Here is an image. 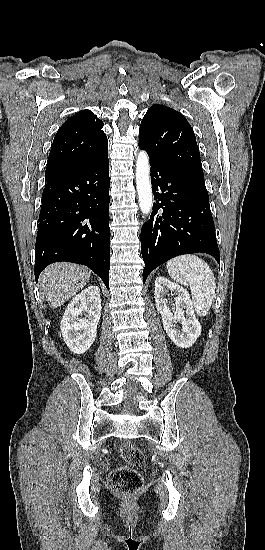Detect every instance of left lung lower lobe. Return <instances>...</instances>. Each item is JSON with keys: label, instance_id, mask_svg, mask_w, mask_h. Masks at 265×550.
I'll list each match as a JSON object with an SVG mask.
<instances>
[{"label": "left lung lower lobe", "instance_id": "0a47b994", "mask_svg": "<svg viewBox=\"0 0 265 550\" xmlns=\"http://www.w3.org/2000/svg\"><path fill=\"white\" fill-rule=\"evenodd\" d=\"M155 203L142 226L143 283L153 269L182 254L207 253L220 262L206 187L150 157Z\"/></svg>", "mask_w": 265, "mask_h": 550}]
</instances>
